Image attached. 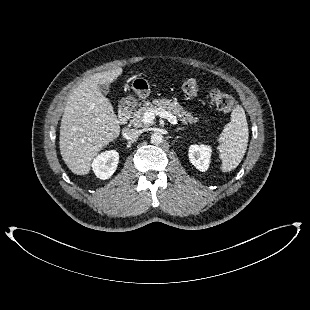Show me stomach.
<instances>
[{
    "label": "stomach",
    "mask_w": 310,
    "mask_h": 310,
    "mask_svg": "<svg viewBox=\"0 0 310 310\" xmlns=\"http://www.w3.org/2000/svg\"><path fill=\"white\" fill-rule=\"evenodd\" d=\"M131 87L140 99L147 98L151 91L148 80L143 77H135L132 81Z\"/></svg>",
    "instance_id": "stomach-1"
}]
</instances>
